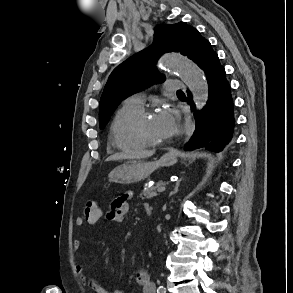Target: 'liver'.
<instances>
[{
    "label": "liver",
    "instance_id": "obj_1",
    "mask_svg": "<svg viewBox=\"0 0 293 293\" xmlns=\"http://www.w3.org/2000/svg\"><path fill=\"white\" fill-rule=\"evenodd\" d=\"M154 154V151H141L133 155H126L123 153H117L114 155L109 156L106 160L107 161H117V160H122V159H127V158H147L150 157Z\"/></svg>",
    "mask_w": 293,
    "mask_h": 293
}]
</instances>
